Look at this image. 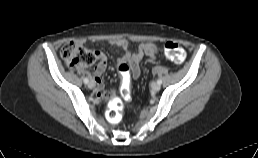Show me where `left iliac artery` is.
<instances>
[{
	"label": "left iliac artery",
	"instance_id": "left-iliac-artery-1",
	"mask_svg": "<svg viewBox=\"0 0 258 158\" xmlns=\"http://www.w3.org/2000/svg\"><path fill=\"white\" fill-rule=\"evenodd\" d=\"M157 83H158V84H161V83H162V80H161V79H158V80H157Z\"/></svg>",
	"mask_w": 258,
	"mask_h": 158
}]
</instances>
